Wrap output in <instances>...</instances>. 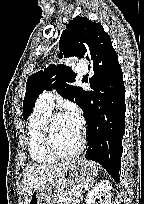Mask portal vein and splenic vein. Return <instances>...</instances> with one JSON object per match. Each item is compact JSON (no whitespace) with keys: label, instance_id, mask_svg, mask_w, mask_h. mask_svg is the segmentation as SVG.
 <instances>
[{"label":"portal vein and splenic vein","instance_id":"portal-vein-and-splenic-vein-1","mask_svg":"<svg viewBox=\"0 0 144 204\" xmlns=\"http://www.w3.org/2000/svg\"><path fill=\"white\" fill-rule=\"evenodd\" d=\"M73 195L76 196V197H79V196H80V192L77 191V190H75V191L73 192Z\"/></svg>","mask_w":144,"mask_h":204}]
</instances>
